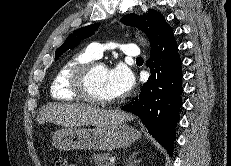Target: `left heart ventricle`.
<instances>
[{
    "instance_id": "1",
    "label": "left heart ventricle",
    "mask_w": 231,
    "mask_h": 166,
    "mask_svg": "<svg viewBox=\"0 0 231 166\" xmlns=\"http://www.w3.org/2000/svg\"><path fill=\"white\" fill-rule=\"evenodd\" d=\"M107 73L108 70L105 67H98L91 76L90 89L96 97L105 99L114 98L108 86Z\"/></svg>"
}]
</instances>
